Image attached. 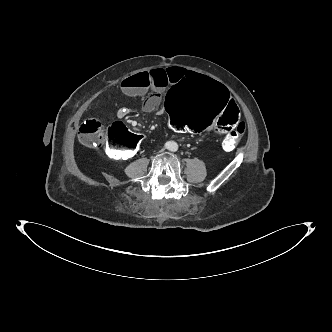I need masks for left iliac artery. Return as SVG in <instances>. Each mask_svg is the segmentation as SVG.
<instances>
[{
	"instance_id": "left-iliac-artery-1",
	"label": "left iliac artery",
	"mask_w": 332,
	"mask_h": 332,
	"mask_svg": "<svg viewBox=\"0 0 332 332\" xmlns=\"http://www.w3.org/2000/svg\"><path fill=\"white\" fill-rule=\"evenodd\" d=\"M172 150L176 151L177 150V145L174 144L173 147H172Z\"/></svg>"
}]
</instances>
